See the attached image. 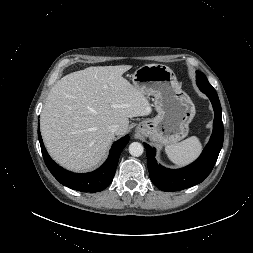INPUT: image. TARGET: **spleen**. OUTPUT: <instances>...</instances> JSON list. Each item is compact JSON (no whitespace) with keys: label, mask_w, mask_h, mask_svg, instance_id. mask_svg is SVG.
I'll return each instance as SVG.
<instances>
[{"label":"spleen","mask_w":253,"mask_h":253,"mask_svg":"<svg viewBox=\"0 0 253 253\" xmlns=\"http://www.w3.org/2000/svg\"><path fill=\"white\" fill-rule=\"evenodd\" d=\"M168 158L178 166L194 161L202 151V144L196 136L189 137L180 143L165 147Z\"/></svg>","instance_id":"3e777b00"}]
</instances>
